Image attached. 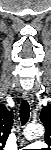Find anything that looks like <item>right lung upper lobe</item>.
Wrapping results in <instances>:
<instances>
[{
    "label": "right lung upper lobe",
    "instance_id": "cb5924a9",
    "mask_svg": "<svg viewBox=\"0 0 51 150\" xmlns=\"http://www.w3.org/2000/svg\"><path fill=\"white\" fill-rule=\"evenodd\" d=\"M13 111H8L4 105H0V144L4 145L10 134L13 123ZM2 149V146H0Z\"/></svg>",
    "mask_w": 51,
    "mask_h": 150
}]
</instances>
